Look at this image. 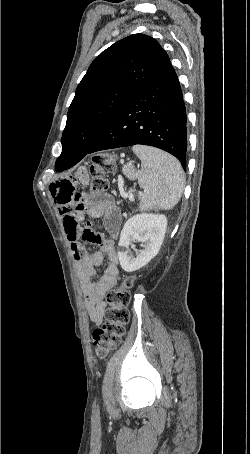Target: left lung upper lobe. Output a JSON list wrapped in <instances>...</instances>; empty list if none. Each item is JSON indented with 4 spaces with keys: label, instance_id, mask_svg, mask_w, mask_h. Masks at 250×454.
I'll return each mask as SVG.
<instances>
[{
    "label": "left lung upper lobe",
    "instance_id": "left-lung-upper-lobe-1",
    "mask_svg": "<svg viewBox=\"0 0 250 454\" xmlns=\"http://www.w3.org/2000/svg\"><path fill=\"white\" fill-rule=\"evenodd\" d=\"M168 62L159 43L143 34L130 35L103 51L76 89L61 155H85L113 116Z\"/></svg>",
    "mask_w": 250,
    "mask_h": 454
}]
</instances>
